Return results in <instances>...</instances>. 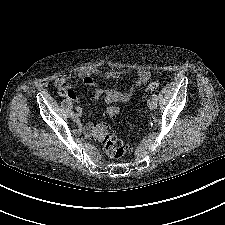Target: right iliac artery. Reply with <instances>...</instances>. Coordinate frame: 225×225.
I'll return each mask as SVG.
<instances>
[{
    "mask_svg": "<svg viewBox=\"0 0 225 225\" xmlns=\"http://www.w3.org/2000/svg\"><path fill=\"white\" fill-rule=\"evenodd\" d=\"M77 110H78V109H77ZM73 115H74V112H71V113H70V116L73 117Z\"/></svg>",
    "mask_w": 225,
    "mask_h": 225,
    "instance_id": "82829eb1",
    "label": "right iliac artery"
}]
</instances>
